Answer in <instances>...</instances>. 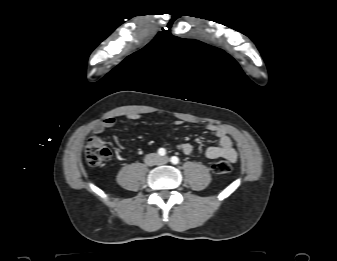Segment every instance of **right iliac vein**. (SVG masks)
<instances>
[{"instance_id": "right-iliac-vein-1", "label": "right iliac vein", "mask_w": 337, "mask_h": 261, "mask_svg": "<svg viewBox=\"0 0 337 261\" xmlns=\"http://www.w3.org/2000/svg\"><path fill=\"white\" fill-rule=\"evenodd\" d=\"M146 162L149 165H153L156 164L158 162V157L155 154H150L147 158H146Z\"/></svg>"}]
</instances>
